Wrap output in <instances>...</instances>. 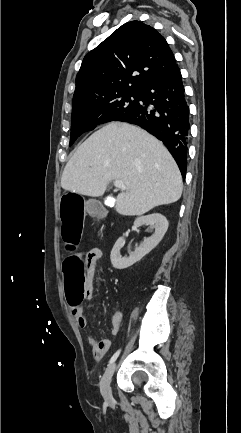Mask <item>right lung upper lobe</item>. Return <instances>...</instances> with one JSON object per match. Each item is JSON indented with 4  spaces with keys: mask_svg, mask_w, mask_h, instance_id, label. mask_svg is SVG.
Returning <instances> with one entry per match:
<instances>
[{
    "mask_svg": "<svg viewBox=\"0 0 241 433\" xmlns=\"http://www.w3.org/2000/svg\"><path fill=\"white\" fill-rule=\"evenodd\" d=\"M176 65L164 37L140 21L125 23L83 59L73 104L140 91Z\"/></svg>",
    "mask_w": 241,
    "mask_h": 433,
    "instance_id": "obj_1",
    "label": "right lung upper lobe"
}]
</instances>
